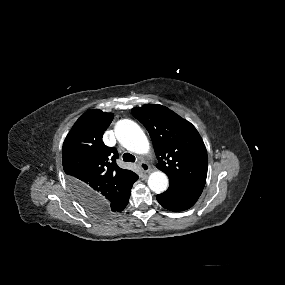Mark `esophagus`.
Masks as SVG:
<instances>
[{
  "label": "esophagus",
  "instance_id": "1",
  "mask_svg": "<svg viewBox=\"0 0 285 285\" xmlns=\"http://www.w3.org/2000/svg\"><path fill=\"white\" fill-rule=\"evenodd\" d=\"M139 167H140V169L144 172V173H148V172H150V166L146 163V162H144V161H141L140 163H139Z\"/></svg>",
  "mask_w": 285,
  "mask_h": 285
}]
</instances>
